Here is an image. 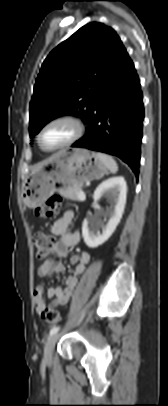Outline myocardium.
<instances>
[{
    "instance_id": "myocardium-1",
    "label": "myocardium",
    "mask_w": 168,
    "mask_h": 406,
    "mask_svg": "<svg viewBox=\"0 0 168 406\" xmlns=\"http://www.w3.org/2000/svg\"><path fill=\"white\" fill-rule=\"evenodd\" d=\"M56 123H68L73 127V134L72 136L62 145L54 147V148H47L43 145L42 143V133L43 131L50 125L56 124ZM85 133V125L83 121L76 115L73 114H61L58 116H55L48 120L46 123L43 124V126L40 128L38 134H37V142L39 147L46 151V152H54V151H59L62 149H65L75 142H77Z\"/></svg>"
}]
</instances>
